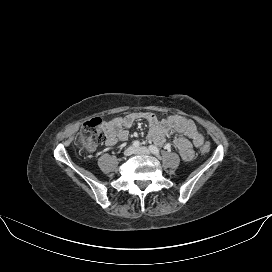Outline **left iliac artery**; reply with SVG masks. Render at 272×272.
Wrapping results in <instances>:
<instances>
[{
    "mask_svg": "<svg viewBox=\"0 0 272 272\" xmlns=\"http://www.w3.org/2000/svg\"><path fill=\"white\" fill-rule=\"evenodd\" d=\"M149 149L154 155H156V156L160 155L159 149L156 146L150 145Z\"/></svg>",
    "mask_w": 272,
    "mask_h": 272,
    "instance_id": "left-iliac-artery-1",
    "label": "left iliac artery"
}]
</instances>
